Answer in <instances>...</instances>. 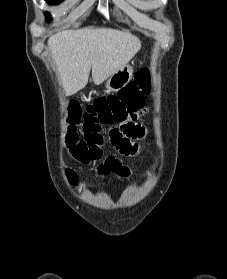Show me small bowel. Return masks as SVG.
I'll return each instance as SVG.
<instances>
[{
  "label": "small bowel",
  "instance_id": "small-bowel-1",
  "mask_svg": "<svg viewBox=\"0 0 227 279\" xmlns=\"http://www.w3.org/2000/svg\"><path fill=\"white\" fill-rule=\"evenodd\" d=\"M112 143L123 155H129L131 143L126 137L122 135L120 129H117V135L114 139H112ZM112 174L118 175L122 178H127L130 175V170L126 167H123L116 158L106 157L97 166L96 175L98 177L108 178Z\"/></svg>",
  "mask_w": 227,
  "mask_h": 279
}]
</instances>
